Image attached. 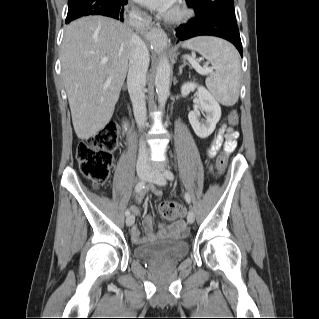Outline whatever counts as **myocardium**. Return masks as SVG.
Listing matches in <instances>:
<instances>
[{
    "label": "myocardium",
    "instance_id": "myocardium-1",
    "mask_svg": "<svg viewBox=\"0 0 319 319\" xmlns=\"http://www.w3.org/2000/svg\"><path fill=\"white\" fill-rule=\"evenodd\" d=\"M189 16V10L181 3H178L174 8L166 15L165 19L171 23H178L185 20Z\"/></svg>",
    "mask_w": 319,
    "mask_h": 319
}]
</instances>
